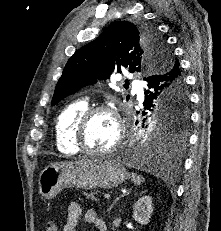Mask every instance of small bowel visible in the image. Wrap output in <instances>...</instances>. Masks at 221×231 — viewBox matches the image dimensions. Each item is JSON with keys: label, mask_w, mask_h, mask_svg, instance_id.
<instances>
[{"label": "small bowel", "mask_w": 221, "mask_h": 231, "mask_svg": "<svg viewBox=\"0 0 221 231\" xmlns=\"http://www.w3.org/2000/svg\"><path fill=\"white\" fill-rule=\"evenodd\" d=\"M81 213V205L77 201H72L67 208V220L62 231H76ZM86 221L97 231H107L105 222L98 218L92 210L86 213Z\"/></svg>", "instance_id": "1"}]
</instances>
